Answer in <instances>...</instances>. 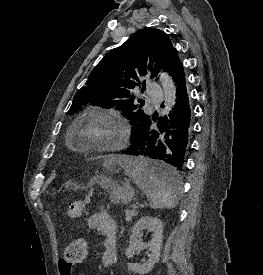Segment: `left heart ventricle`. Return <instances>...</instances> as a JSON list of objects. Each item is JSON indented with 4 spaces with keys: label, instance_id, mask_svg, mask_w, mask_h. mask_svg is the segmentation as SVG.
Listing matches in <instances>:
<instances>
[{
    "label": "left heart ventricle",
    "instance_id": "b2bd125f",
    "mask_svg": "<svg viewBox=\"0 0 263 275\" xmlns=\"http://www.w3.org/2000/svg\"><path fill=\"white\" fill-rule=\"evenodd\" d=\"M91 131L94 134H102L104 132V127L101 125H94Z\"/></svg>",
    "mask_w": 263,
    "mask_h": 275
}]
</instances>
